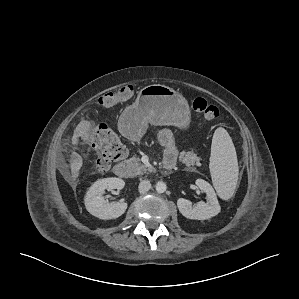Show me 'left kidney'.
<instances>
[{
	"mask_svg": "<svg viewBox=\"0 0 299 299\" xmlns=\"http://www.w3.org/2000/svg\"><path fill=\"white\" fill-rule=\"evenodd\" d=\"M196 185L206 193L207 202L200 201L193 208L191 201L179 198L177 200V206L180 213L188 219L196 220H206L216 216L220 212L221 207L213 187L203 179H197Z\"/></svg>",
	"mask_w": 299,
	"mask_h": 299,
	"instance_id": "1",
	"label": "left kidney"
}]
</instances>
